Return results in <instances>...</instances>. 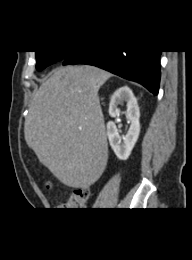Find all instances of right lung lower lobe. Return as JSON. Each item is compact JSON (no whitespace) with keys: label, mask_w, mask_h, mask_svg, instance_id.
I'll use <instances>...</instances> for the list:
<instances>
[{"label":"right lung lower lobe","mask_w":192,"mask_h":260,"mask_svg":"<svg viewBox=\"0 0 192 260\" xmlns=\"http://www.w3.org/2000/svg\"><path fill=\"white\" fill-rule=\"evenodd\" d=\"M160 55L161 51H74L63 60V65H94L125 79L138 82L157 95L160 83Z\"/></svg>","instance_id":"98d812e1"}]
</instances>
